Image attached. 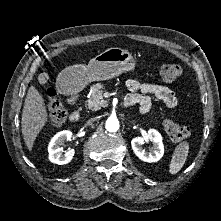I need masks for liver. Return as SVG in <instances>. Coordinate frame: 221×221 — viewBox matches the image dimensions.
Here are the masks:
<instances>
[{
	"instance_id": "obj_1",
	"label": "liver",
	"mask_w": 221,
	"mask_h": 221,
	"mask_svg": "<svg viewBox=\"0 0 221 221\" xmlns=\"http://www.w3.org/2000/svg\"><path fill=\"white\" fill-rule=\"evenodd\" d=\"M48 121V113L42 95L31 86L27 92L22 111L21 130L29 151L36 137Z\"/></svg>"
}]
</instances>
